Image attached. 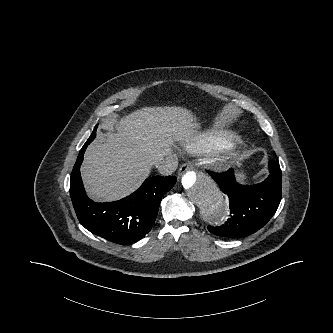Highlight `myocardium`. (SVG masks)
Returning <instances> with one entry per match:
<instances>
[{"instance_id": "obj_1", "label": "myocardium", "mask_w": 333, "mask_h": 333, "mask_svg": "<svg viewBox=\"0 0 333 333\" xmlns=\"http://www.w3.org/2000/svg\"><path fill=\"white\" fill-rule=\"evenodd\" d=\"M234 151L235 146L232 144L216 149L211 160L212 164L219 169L226 167L229 160L234 156Z\"/></svg>"}]
</instances>
